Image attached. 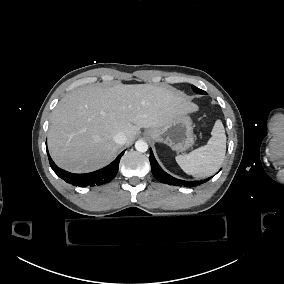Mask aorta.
<instances>
[{
	"label": "aorta",
	"mask_w": 284,
	"mask_h": 284,
	"mask_svg": "<svg viewBox=\"0 0 284 284\" xmlns=\"http://www.w3.org/2000/svg\"><path fill=\"white\" fill-rule=\"evenodd\" d=\"M135 149L138 152H146L148 150V144L145 141H143V140H138L135 143Z\"/></svg>",
	"instance_id": "1"
}]
</instances>
